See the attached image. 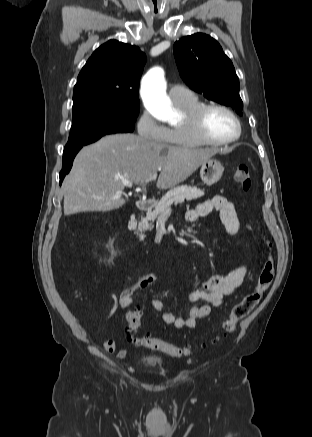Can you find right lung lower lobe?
<instances>
[{
	"label": "right lung lower lobe",
	"instance_id": "1",
	"mask_svg": "<svg viewBox=\"0 0 312 437\" xmlns=\"http://www.w3.org/2000/svg\"><path fill=\"white\" fill-rule=\"evenodd\" d=\"M79 150L77 151H73L71 153H66L63 156V164H62V170L59 174L60 177V185L65 177V175L70 171L72 164H73V159L76 156V154L78 153Z\"/></svg>",
	"mask_w": 312,
	"mask_h": 437
}]
</instances>
